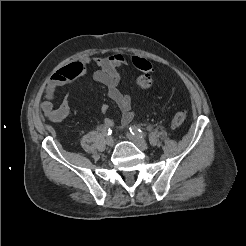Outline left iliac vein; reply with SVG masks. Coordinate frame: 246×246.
<instances>
[{
  "instance_id": "left-iliac-vein-1",
  "label": "left iliac vein",
  "mask_w": 246,
  "mask_h": 246,
  "mask_svg": "<svg viewBox=\"0 0 246 246\" xmlns=\"http://www.w3.org/2000/svg\"><path fill=\"white\" fill-rule=\"evenodd\" d=\"M127 138L132 141L139 149L141 150H147L149 148L148 144L146 141L137 135H133L131 133L126 134Z\"/></svg>"
}]
</instances>
